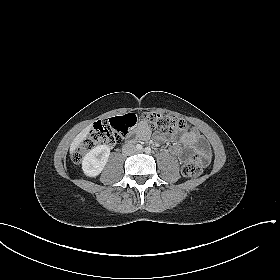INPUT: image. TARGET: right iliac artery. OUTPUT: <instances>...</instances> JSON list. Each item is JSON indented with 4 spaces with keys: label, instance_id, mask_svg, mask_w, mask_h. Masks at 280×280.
I'll use <instances>...</instances> for the list:
<instances>
[{
    "label": "right iliac artery",
    "instance_id": "82829eb1",
    "mask_svg": "<svg viewBox=\"0 0 280 280\" xmlns=\"http://www.w3.org/2000/svg\"><path fill=\"white\" fill-rule=\"evenodd\" d=\"M136 148H137L138 150H142V149H143V146H142L141 144H137V145H136Z\"/></svg>",
    "mask_w": 280,
    "mask_h": 280
}]
</instances>
